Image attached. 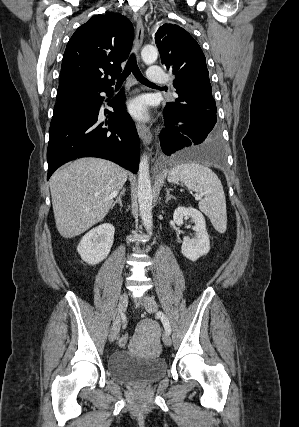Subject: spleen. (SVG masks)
<instances>
[{
  "label": "spleen",
  "mask_w": 299,
  "mask_h": 427,
  "mask_svg": "<svg viewBox=\"0 0 299 427\" xmlns=\"http://www.w3.org/2000/svg\"><path fill=\"white\" fill-rule=\"evenodd\" d=\"M168 181H181L188 189L204 196L199 202V209L208 216L216 231H226L227 210L223 186L210 168L195 162L182 163L172 168Z\"/></svg>",
  "instance_id": "obj_1"
}]
</instances>
